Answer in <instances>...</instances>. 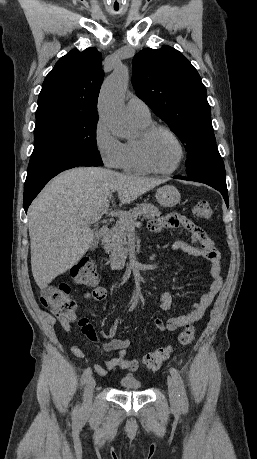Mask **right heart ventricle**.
I'll return each mask as SVG.
<instances>
[{
  "label": "right heart ventricle",
  "instance_id": "e07e8e85",
  "mask_svg": "<svg viewBox=\"0 0 257 459\" xmlns=\"http://www.w3.org/2000/svg\"><path fill=\"white\" fill-rule=\"evenodd\" d=\"M133 119L135 120L140 130L151 124L150 120H142L138 118ZM119 168L125 172L134 174H148L151 172L143 165L139 157L137 139L128 140L123 143V158Z\"/></svg>",
  "mask_w": 257,
  "mask_h": 459
}]
</instances>
